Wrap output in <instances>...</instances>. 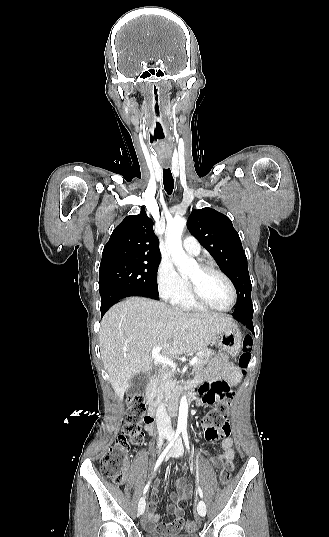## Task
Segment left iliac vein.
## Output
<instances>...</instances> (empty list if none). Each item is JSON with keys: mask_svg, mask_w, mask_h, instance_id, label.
<instances>
[{"mask_svg": "<svg viewBox=\"0 0 329 537\" xmlns=\"http://www.w3.org/2000/svg\"><path fill=\"white\" fill-rule=\"evenodd\" d=\"M175 449H176V451H177V453H178L179 455L183 454L184 449H183V445H182V440H181V438H178V439L176 440V443H175ZM197 511H198V514H199L201 517H205L207 509H206V504H205V502H204L203 500H200V501H199V503H198V505H197Z\"/></svg>", "mask_w": 329, "mask_h": 537, "instance_id": "obj_1", "label": "left iliac vein"}]
</instances>
